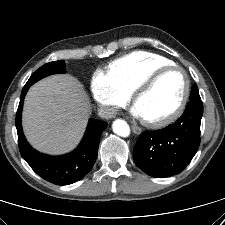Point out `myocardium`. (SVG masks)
Listing matches in <instances>:
<instances>
[{
	"label": "myocardium",
	"mask_w": 225,
	"mask_h": 225,
	"mask_svg": "<svg viewBox=\"0 0 225 225\" xmlns=\"http://www.w3.org/2000/svg\"><path fill=\"white\" fill-rule=\"evenodd\" d=\"M171 70H178L183 75V78H184L183 95H182L178 105L176 106V108L172 112L167 114L166 116L159 118V119H155V120L142 119L143 124L148 127L161 128V127H164V126L174 122L176 119H178L181 116V114L183 113V111L188 103V99H189V95H190L189 76L183 67L176 65V64H171V65L162 67V68L152 72L149 76H147L139 84V86L136 88V90L133 92V95H132L133 104L135 105L137 100L142 95L147 93L161 76H163L164 74H166L167 72H169Z\"/></svg>",
	"instance_id": "1"
}]
</instances>
